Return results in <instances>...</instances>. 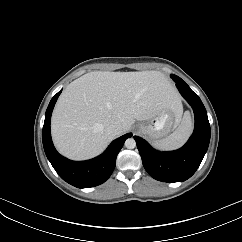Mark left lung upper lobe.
<instances>
[{
  "mask_svg": "<svg viewBox=\"0 0 242 242\" xmlns=\"http://www.w3.org/2000/svg\"><path fill=\"white\" fill-rule=\"evenodd\" d=\"M171 78H172L175 82L183 81L180 77H178V76H176V75H174V74L171 75Z\"/></svg>",
  "mask_w": 242,
  "mask_h": 242,
  "instance_id": "left-lung-upper-lobe-1",
  "label": "left lung upper lobe"
}]
</instances>
